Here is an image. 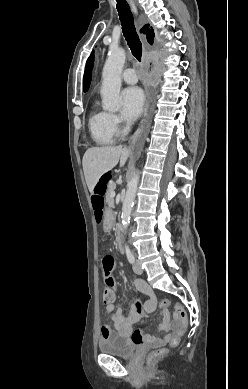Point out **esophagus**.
Listing matches in <instances>:
<instances>
[{
	"instance_id": "34e87169",
	"label": "esophagus",
	"mask_w": 248,
	"mask_h": 389,
	"mask_svg": "<svg viewBox=\"0 0 248 389\" xmlns=\"http://www.w3.org/2000/svg\"><path fill=\"white\" fill-rule=\"evenodd\" d=\"M129 4H130V6H131V9H132L133 13H134L135 15H137V13H138L137 7H136L135 3L133 2V0H129ZM147 108H149V103L147 104ZM146 120H147V117L142 121V123H141L139 129L137 130V132H136V137L139 136V135L141 134V132H142V130H143V127H144V124H145Z\"/></svg>"
}]
</instances>
